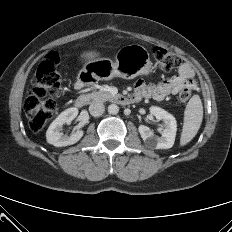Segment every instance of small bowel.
Listing matches in <instances>:
<instances>
[{"instance_id":"obj_1","label":"small bowel","mask_w":232,"mask_h":232,"mask_svg":"<svg viewBox=\"0 0 232 232\" xmlns=\"http://www.w3.org/2000/svg\"><path fill=\"white\" fill-rule=\"evenodd\" d=\"M193 78L194 70L192 66L184 62L180 65L177 75L168 77L158 84H147L143 80H138L134 86V95H137L140 99L163 100L170 95L177 94Z\"/></svg>"}]
</instances>
